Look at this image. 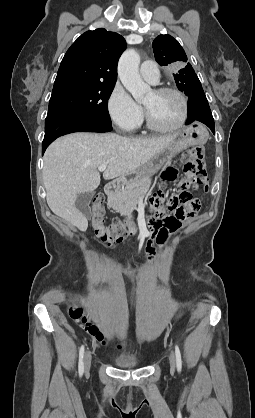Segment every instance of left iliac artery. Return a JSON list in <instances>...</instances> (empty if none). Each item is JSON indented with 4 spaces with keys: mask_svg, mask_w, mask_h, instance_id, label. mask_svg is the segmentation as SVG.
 Instances as JSON below:
<instances>
[{
    "mask_svg": "<svg viewBox=\"0 0 255 418\" xmlns=\"http://www.w3.org/2000/svg\"><path fill=\"white\" fill-rule=\"evenodd\" d=\"M175 355H176V365L177 370L180 372L182 368V360H181V353L178 345H175Z\"/></svg>",
    "mask_w": 255,
    "mask_h": 418,
    "instance_id": "left-iliac-artery-1",
    "label": "left iliac artery"
}]
</instances>
